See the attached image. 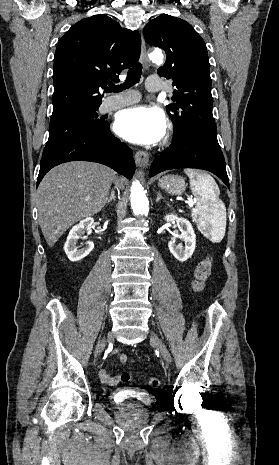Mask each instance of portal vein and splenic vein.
I'll use <instances>...</instances> for the list:
<instances>
[{
	"label": "portal vein and splenic vein",
	"mask_w": 279,
	"mask_h": 465,
	"mask_svg": "<svg viewBox=\"0 0 279 465\" xmlns=\"http://www.w3.org/2000/svg\"><path fill=\"white\" fill-rule=\"evenodd\" d=\"M86 200H89V198L87 197ZM188 204H189L190 206L193 205V200H192L191 198H188Z\"/></svg>",
	"instance_id": "portal-vein-and-splenic-vein-1"
}]
</instances>
